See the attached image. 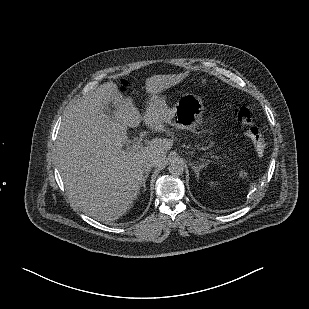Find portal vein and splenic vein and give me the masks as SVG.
<instances>
[{"label": "portal vein and splenic vein", "instance_id": "portal-vein-and-splenic-vein-1", "mask_svg": "<svg viewBox=\"0 0 309 309\" xmlns=\"http://www.w3.org/2000/svg\"><path fill=\"white\" fill-rule=\"evenodd\" d=\"M143 148V144L140 141L134 142L132 145L133 150H139Z\"/></svg>", "mask_w": 309, "mask_h": 309}]
</instances>
